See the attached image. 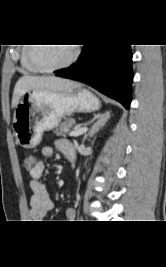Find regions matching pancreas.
I'll use <instances>...</instances> for the list:
<instances>
[{"mask_svg":"<svg viewBox=\"0 0 166 267\" xmlns=\"http://www.w3.org/2000/svg\"><path fill=\"white\" fill-rule=\"evenodd\" d=\"M74 123V120H66L65 122L61 123L55 130V134L57 136H66L67 132L74 125Z\"/></svg>","mask_w":166,"mask_h":267,"instance_id":"pancreas-1","label":"pancreas"}]
</instances>
